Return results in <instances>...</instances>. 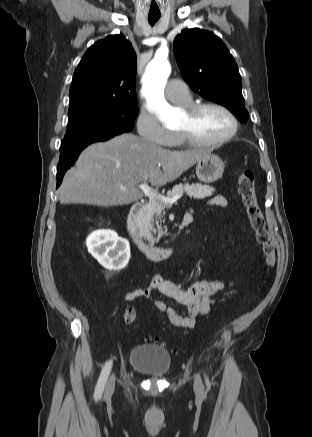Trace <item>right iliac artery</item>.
I'll list each match as a JSON object with an SVG mask.
<instances>
[{"mask_svg":"<svg viewBox=\"0 0 312 437\" xmlns=\"http://www.w3.org/2000/svg\"><path fill=\"white\" fill-rule=\"evenodd\" d=\"M111 367H112V361L109 360L108 362H106L104 368L102 369L100 377L98 379V383H97L95 393H94L95 400L100 399V397L102 396L104 386L106 384V381H107L108 376H109L110 371H111Z\"/></svg>","mask_w":312,"mask_h":437,"instance_id":"obj_1","label":"right iliac artery"}]
</instances>
